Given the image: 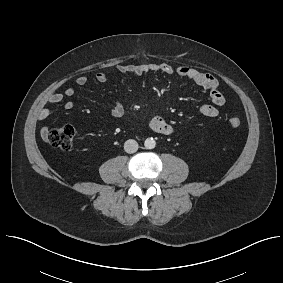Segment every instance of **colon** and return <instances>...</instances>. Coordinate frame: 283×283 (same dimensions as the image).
<instances>
[{
	"mask_svg": "<svg viewBox=\"0 0 283 283\" xmlns=\"http://www.w3.org/2000/svg\"><path fill=\"white\" fill-rule=\"evenodd\" d=\"M228 124L232 128H238L241 126L242 121L239 117H230ZM76 133L77 130L74 125L66 124L48 131L46 137L52 146L67 151L73 147Z\"/></svg>",
	"mask_w": 283,
	"mask_h": 283,
	"instance_id": "colon-1",
	"label": "colon"
}]
</instances>
